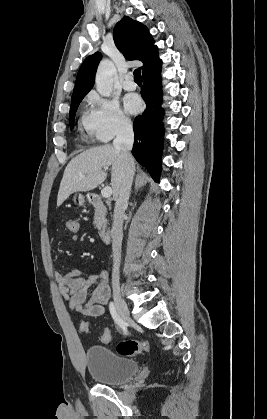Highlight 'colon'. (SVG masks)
<instances>
[{
	"instance_id": "1",
	"label": "colon",
	"mask_w": 267,
	"mask_h": 419,
	"mask_svg": "<svg viewBox=\"0 0 267 419\" xmlns=\"http://www.w3.org/2000/svg\"><path fill=\"white\" fill-rule=\"evenodd\" d=\"M68 231L71 233V237H79L80 222L78 220H69L66 224ZM89 330V323L83 321L80 324V331L82 333H87ZM111 340V333L108 329H105L101 336L102 343H109ZM151 346L146 341H133V340H124L117 344L116 350L117 353L121 356L131 357L135 356L141 352H149Z\"/></svg>"
}]
</instances>
